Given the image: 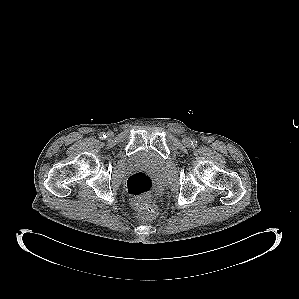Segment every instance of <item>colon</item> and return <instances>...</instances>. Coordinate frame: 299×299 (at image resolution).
Here are the masks:
<instances>
[{
    "instance_id": "5ec220e1",
    "label": "colon",
    "mask_w": 299,
    "mask_h": 299,
    "mask_svg": "<svg viewBox=\"0 0 299 299\" xmlns=\"http://www.w3.org/2000/svg\"><path fill=\"white\" fill-rule=\"evenodd\" d=\"M126 188L136 209L143 214L154 212L152 193L156 188V181L152 175L143 171L135 172L128 177Z\"/></svg>"
}]
</instances>
